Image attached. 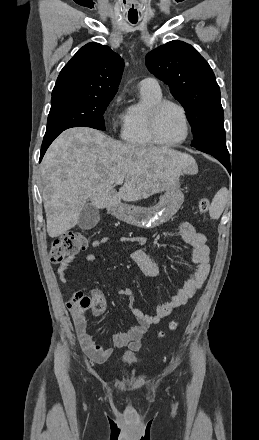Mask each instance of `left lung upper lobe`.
Listing matches in <instances>:
<instances>
[{"instance_id": "left-lung-upper-lobe-1", "label": "left lung upper lobe", "mask_w": 259, "mask_h": 440, "mask_svg": "<svg viewBox=\"0 0 259 440\" xmlns=\"http://www.w3.org/2000/svg\"><path fill=\"white\" fill-rule=\"evenodd\" d=\"M146 66L186 110L193 147L226 145L219 86L210 65L190 44L168 42L147 54Z\"/></svg>"}]
</instances>
